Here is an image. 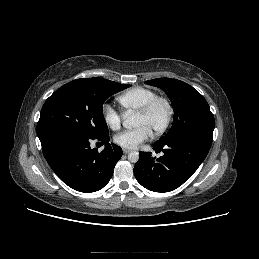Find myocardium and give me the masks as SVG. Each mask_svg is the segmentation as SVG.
I'll use <instances>...</instances> for the list:
<instances>
[{"label":"myocardium","mask_w":259,"mask_h":259,"mask_svg":"<svg viewBox=\"0 0 259 259\" xmlns=\"http://www.w3.org/2000/svg\"><path fill=\"white\" fill-rule=\"evenodd\" d=\"M158 104H164L167 109V118L164 124L157 129L154 134L160 136L164 134L171 126L174 118V107L171 101L163 96H156L141 107L137 113L143 116L149 115Z\"/></svg>","instance_id":"myocardium-1"}]
</instances>
